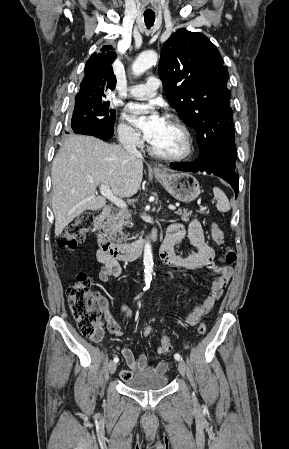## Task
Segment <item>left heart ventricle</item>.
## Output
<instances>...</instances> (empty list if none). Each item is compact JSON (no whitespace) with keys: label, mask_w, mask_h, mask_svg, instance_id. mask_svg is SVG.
I'll list each match as a JSON object with an SVG mask.
<instances>
[{"label":"left heart ventricle","mask_w":289,"mask_h":449,"mask_svg":"<svg viewBox=\"0 0 289 449\" xmlns=\"http://www.w3.org/2000/svg\"><path fill=\"white\" fill-rule=\"evenodd\" d=\"M150 144L160 153L178 154L184 149V137L175 126L164 120L162 127Z\"/></svg>","instance_id":"b2bd125f"}]
</instances>
